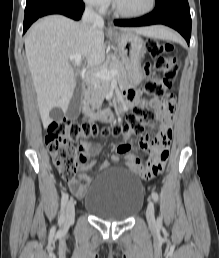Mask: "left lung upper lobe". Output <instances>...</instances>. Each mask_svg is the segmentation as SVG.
Returning a JSON list of instances; mask_svg holds the SVG:
<instances>
[{"label": "left lung upper lobe", "mask_w": 219, "mask_h": 258, "mask_svg": "<svg viewBox=\"0 0 219 258\" xmlns=\"http://www.w3.org/2000/svg\"><path fill=\"white\" fill-rule=\"evenodd\" d=\"M163 0H156V4H159L160 2H162Z\"/></svg>", "instance_id": "obj_1"}]
</instances>
